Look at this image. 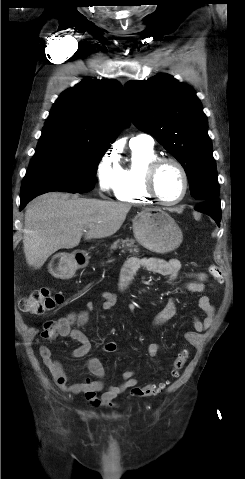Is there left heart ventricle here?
<instances>
[{
    "label": "left heart ventricle",
    "instance_id": "obj_1",
    "mask_svg": "<svg viewBox=\"0 0 245 479\" xmlns=\"http://www.w3.org/2000/svg\"><path fill=\"white\" fill-rule=\"evenodd\" d=\"M156 186L160 196L164 200H176L182 194V176L175 166L167 164L159 171Z\"/></svg>",
    "mask_w": 245,
    "mask_h": 479
}]
</instances>
